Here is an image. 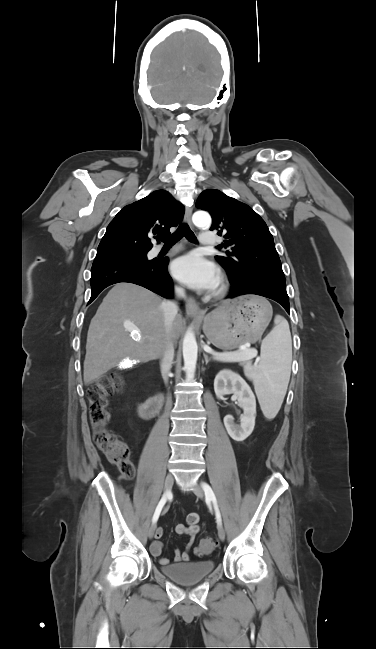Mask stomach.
<instances>
[{"label":"stomach","instance_id":"1","mask_svg":"<svg viewBox=\"0 0 376 649\" xmlns=\"http://www.w3.org/2000/svg\"><path fill=\"white\" fill-rule=\"evenodd\" d=\"M272 316L270 303L257 296H242L224 302L204 317L203 331L217 348L232 350L256 342Z\"/></svg>","mask_w":376,"mask_h":649}]
</instances>
